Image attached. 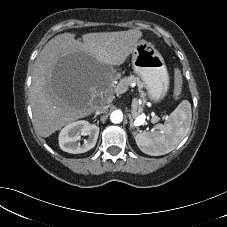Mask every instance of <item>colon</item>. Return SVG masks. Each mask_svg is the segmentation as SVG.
<instances>
[{"label": "colon", "mask_w": 227, "mask_h": 227, "mask_svg": "<svg viewBox=\"0 0 227 227\" xmlns=\"http://www.w3.org/2000/svg\"><path fill=\"white\" fill-rule=\"evenodd\" d=\"M182 90V77L179 72L175 73V94L179 95Z\"/></svg>", "instance_id": "colon-1"}]
</instances>
